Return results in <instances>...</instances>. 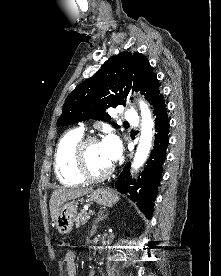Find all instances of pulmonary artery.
<instances>
[{"label":"pulmonary artery","mask_w":221,"mask_h":276,"mask_svg":"<svg viewBox=\"0 0 221 276\" xmlns=\"http://www.w3.org/2000/svg\"><path fill=\"white\" fill-rule=\"evenodd\" d=\"M124 117L126 120L131 122H135L137 120V114L133 109H127L124 113ZM80 129L83 130L84 127L82 126Z\"/></svg>","instance_id":"pulmonary-artery-1"}]
</instances>
